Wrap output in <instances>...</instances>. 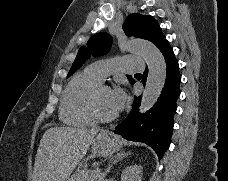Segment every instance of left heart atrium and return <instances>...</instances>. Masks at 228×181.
<instances>
[{"label":"left heart atrium","instance_id":"obj_1","mask_svg":"<svg viewBox=\"0 0 228 181\" xmlns=\"http://www.w3.org/2000/svg\"><path fill=\"white\" fill-rule=\"evenodd\" d=\"M123 105V90L115 89L113 92V106L115 110H118Z\"/></svg>","mask_w":228,"mask_h":181}]
</instances>
